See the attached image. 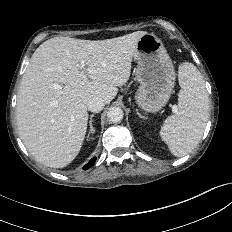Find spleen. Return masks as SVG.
Here are the masks:
<instances>
[{
  "label": "spleen",
  "instance_id": "1",
  "mask_svg": "<svg viewBox=\"0 0 232 232\" xmlns=\"http://www.w3.org/2000/svg\"><path fill=\"white\" fill-rule=\"evenodd\" d=\"M181 90L179 114L169 116L161 128V137L174 156L190 153L202 138L208 120V96L199 70L189 62L178 68Z\"/></svg>",
  "mask_w": 232,
  "mask_h": 232
}]
</instances>
